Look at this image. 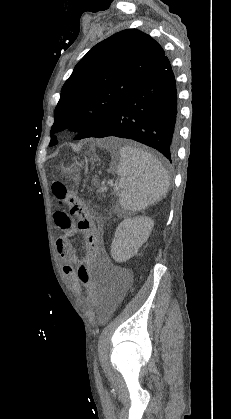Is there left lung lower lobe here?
<instances>
[{"label": "left lung lower lobe", "mask_w": 231, "mask_h": 419, "mask_svg": "<svg viewBox=\"0 0 231 419\" xmlns=\"http://www.w3.org/2000/svg\"><path fill=\"white\" fill-rule=\"evenodd\" d=\"M176 81L168 58L149 71L91 137L129 138L158 150L172 162L177 141Z\"/></svg>", "instance_id": "0a47b994"}]
</instances>
